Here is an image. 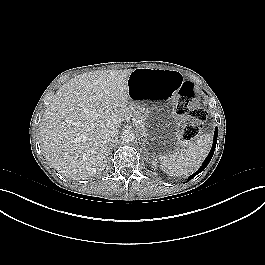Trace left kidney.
<instances>
[{
    "instance_id": "left-kidney-1",
    "label": "left kidney",
    "mask_w": 265,
    "mask_h": 265,
    "mask_svg": "<svg viewBox=\"0 0 265 265\" xmlns=\"http://www.w3.org/2000/svg\"><path fill=\"white\" fill-rule=\"evenodd\" d=\"M152 165H153L154 167H156V162H155V161H153V162H152Z\"/></svg>"
}]
</instances>
